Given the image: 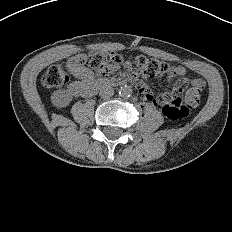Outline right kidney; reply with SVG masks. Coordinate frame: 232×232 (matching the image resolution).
Masks as SVG:
<instances>
[{"label":"right kidney","mask_w":232,"mask_h":232,"mask_svg":"<svg viewBox=\"0 0 232 232\" xmlns=\"http://www.w3.org/2000/svg\"><path fill=\"white\" fill-rule=\"evenodd\" d=\"M73 97L65 89H58L51 95V102L57 108H64L70 104Z\"/></svg>","instance_id":"obj_1"}]
</instances>
